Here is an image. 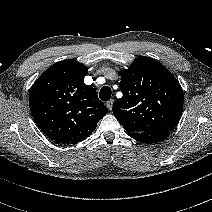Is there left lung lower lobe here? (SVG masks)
I'll return each mask as SVG.
<instances>
[{"label": "left lung lower lobe", "mask_w": 212, "mask_h": 212, "mask_svg": "<svg viewBox=\"0 0 212 212\" xmlns=\"http://www.w3.org/2000/svg\"><path fill=\"white\" fill-rule=\"evenodd\" d=\"M129 136L142 143H157L163 141L170 135L167 131H145L129 133Z\"/></svg>", "instance_id": "obj_1"}]
</instances>
